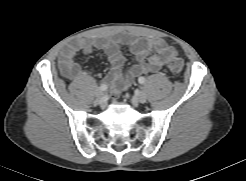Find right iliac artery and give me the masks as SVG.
Listing matches in <instances>:
<instances>
[{"instance_id":"1","label":"right iliac artery","mask_w":246,"mask_h":181,"mask_svg":"<svg viewBox=\"0 0 246 181\" xmlns=\"http://www.w3.org/2000/svg\"><path fill=\"white\" fill-rule=\"evenodd\" d=\"M100 90L106 91V90H107V85L101 84V85H100Z\"/></svg>"}]
</instances>
